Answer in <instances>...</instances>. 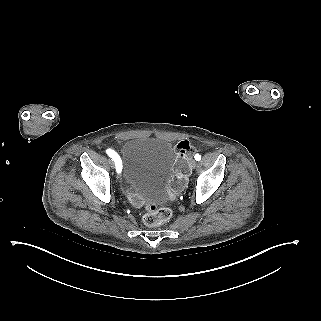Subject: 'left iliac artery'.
<instances>
[{"mask_svg": "<svg viewBox=\"0 0 321 321\" xmlns=\"http://www.w3.org/2000/svg\"><path fill=\"white\" fill-rule=\"evenodd\" d=\"M195 159H196L197 161L201 160V155H200V154H196V155H195Z\"/></svg>", "mask_w": 321, "mask_h": 321, "instance_id": "obj_1", "label": "left iliac artery"}]
</instances>
